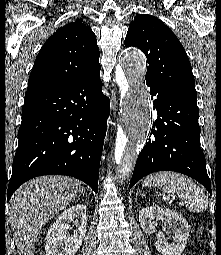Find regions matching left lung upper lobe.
Returning <instances> with one entry per match:
<instances>
[{"label": "left lung upper lobe", "mask_w": 221, "mask_h": 255, "mask_svg": "<svg viewBox=\"0 0 221 255\" xmlns=\"http://www.w3.org/2000/svg\"><path fill=\"white\" fill-rule=\"evenodd\" d=\"M125 46L138 47L149 66L148 86L197 102L195 80L187 54L174 33L157 17L138 14L130 23Z\"/></svg>", "instance_id": "5c2ea615"}]
</instances>
